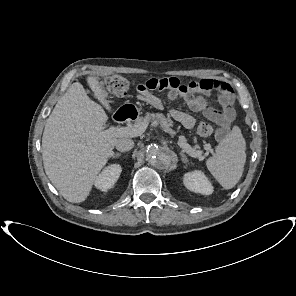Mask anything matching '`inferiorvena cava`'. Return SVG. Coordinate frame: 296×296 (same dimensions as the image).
Returning <instances> with one entry per match:
<instances>
[{"mask_svg": "<svg viewBox=\"0 0 296 296\" xmlns=\"http://www.w3.org/2000/svg\"><path fill=\"white\" fill-rule=\"evenodd\" d=\"M115 147L120 152H127L134 147V142L129 138H120L116 141Z\"/></svg>", "mask_w": 296, "mask_h": 296, "instance_id": "inferior-vena-cava-1", "label": "inferior vena cava"}]
</instances>
